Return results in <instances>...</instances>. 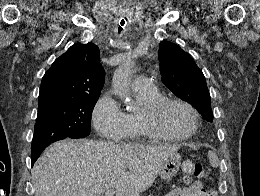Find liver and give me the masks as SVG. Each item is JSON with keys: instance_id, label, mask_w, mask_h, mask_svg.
Returning <instances> with one entry per match:
<instances>
[{"instance_id": "1", "label": "liver", "mask_w": 260, "mask_h": 196, "mask_svg": "<svg viewBox=\"0 0 260 196\" xmlns=\"http://www.w3.org/2000/svg\"><path fill=\"white\" fill-rule=\"evenodd\" d=\"M175 144L136 146L60 140L48 146L32 170L35 196H140L153 186Z\"/></svg>"}]
</instances>
